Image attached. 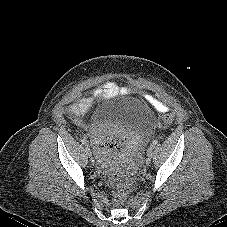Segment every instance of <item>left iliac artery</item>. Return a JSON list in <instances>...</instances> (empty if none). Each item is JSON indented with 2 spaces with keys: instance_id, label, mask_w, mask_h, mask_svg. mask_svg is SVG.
I'll return each instance as SVG.
<instances>
[{
  "instance_id": "1",
  "label": "left iliac artery",
  "mask_w": 227,
  "mask_h": 227,
  "mask_svg": "<svg viewBox=\"0 0 227 227\" xmlns=\"http://www.w3.org/2000/svg\"><path fill=\"white\" fill-rule=\"evenodd\" d=\"M157 143H158V140H154V141L152 142L153 145H156Z\"/></svg>"
}]
</instances>
